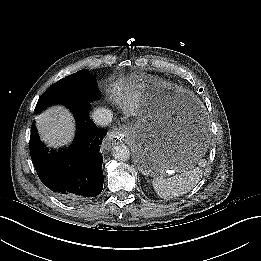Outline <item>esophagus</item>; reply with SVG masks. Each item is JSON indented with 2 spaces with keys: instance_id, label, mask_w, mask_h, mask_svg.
Listing matches in <instances>:
<instances>
[{
  "instance_id": "34e87169",
  "label": "esophagus",
  "mask_w": 261,
  "mask_h": 261,
  "mask_svg": "<svg viewBox=\"0 0 261 261\" xmlns=\"http://www.w3.org/2000/svg\"><path fill=\"white\" fill-rule=\"evenodd\" d=\"M124 133V129L122 128L110 132V134L108 135L106 148L107 146L109 147L113 144H117L123 138Z\"/></svg>"
}]
</instances>
